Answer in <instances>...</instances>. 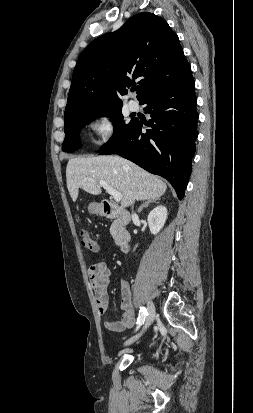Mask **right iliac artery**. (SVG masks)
I'll list each match as a JSON object with an SVG mask.
<instances>
[{
  "mask_svg": "<svg viewBox=\"0 0 253 413\" xmlns=\"http://www.w3.org/2000/svg\"><path fill=\"white\" fill-rule=\"evenodd\" d=\"M146 315H148V313L146 311V308L145 307H140L139 316H138V319H137V324L138 325L136 327V330H138L139 327L144 324Z\"/></svg>",
  "mask_w": 253,
  "mask_h": 413,
  "instance_id": "82829eb1",
  "label": "right iliac artery"
}]
</instances>
